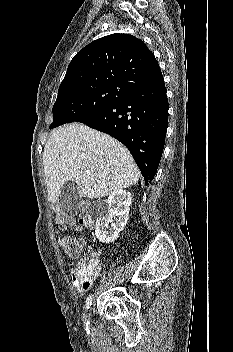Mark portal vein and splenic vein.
<instances>
[{
	"label": "portal vein and splenic vein",
	"mask_w": 233,
	"mask_h": 352,
	"mask_svg": "<svg viewBox=\"0 0 233 352\" xmlns=\"http://www.w3.org/2000/svg\"><path fill=\"white\" fill-rule=\"evenodd\" d=\"M86 173H87V174H91V171H90V170H87Z\"/></svg>",
	"instance_id": "1"
}]
</instances>
